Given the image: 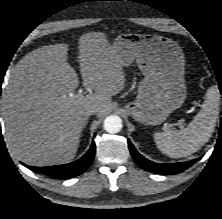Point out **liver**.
Returning <instances> with one entry per match:
<instances>
[{
  "label": "liver",
  "instance_id": "1",
  "mask_svg": "<svg viewBox=\"0 0 222 219\" xmlns=\"http://www.w3.org/2000/svg\"><path fill=\"white\" fill-rule=\"evenodd\" d=\"M69 45H46L25 55L13 69L3 97L7 142L22 162L50 166L70 162L86 123L84 111L96 106L105 115L111 97L125 87L123 64L110 49L105 33L78 40L83 85L94 93L68 96L79 85L68 62Z\"/></svg>",
  "mask_w": 222,
  "mask_h": 219
}]
</instances>
